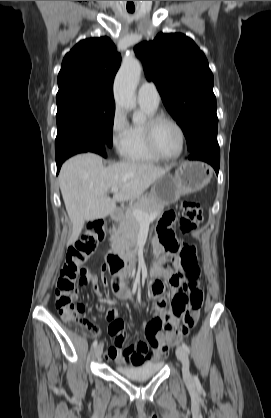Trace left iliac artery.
Instances as JSON below:
<instances>
[{
    "instance_id": "44dca946",
    "label": "left iliac artery",
    "mask_w": 271,
    "mask_h": 418,
    "mask_svg": "<svg viewBox=\"0 0 271 418\" xmlns=\"http://www.w3.org/2000/svg\"><path fill=\"white\" fill-rule=\"evenodd\" d=\"M182 348L187 352V353H190V349H189V347L187 346V344L186 343H182Z\"/></svg>"
}]
</instances>
